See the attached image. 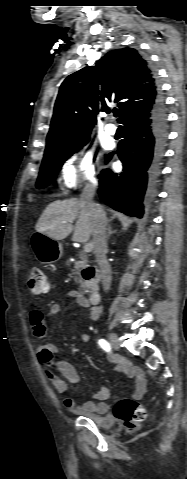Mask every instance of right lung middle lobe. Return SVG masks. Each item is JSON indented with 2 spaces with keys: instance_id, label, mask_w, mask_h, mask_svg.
I'll use <instances>...</instances> for the list:
<instances>
[{
  "instance_id": "dd1d6c3e",
  "label": "right lung middle lobe",
  "mask_w": 187,
  "mask_h": 479,
  "mask_svg": "<svg viewBox=\"0 0 187 479\" xmlns=\"http://www.w3.org/2000/svg\"><path fill=\"white\" fill-rule=\"evenodd\" d=\"M89 135H86L72 145L53 148L45 151L39 177L36 183V187L38 189L48 186L53 181L65 160L88 143Z\"/></svg>"
}]
</instances>
